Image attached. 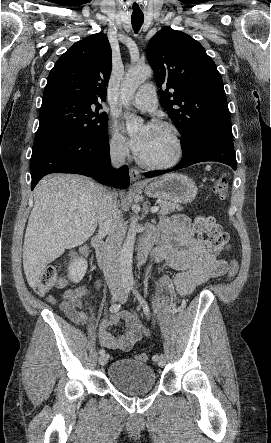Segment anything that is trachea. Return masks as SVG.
<instances>
[{"label":"trachea","instance_id":"3493384b","mask_svg":"<svg viewBox=\"0 0 271 443\" xmlns=\"http://www.w3.org/2000/svg\"><path fill=\"white\" fill-rule=\"evenodd\" d=\"M128 3L129 5H131L132 27L135 30V32H138L144 21V11L140 6L141 4L139 0H128Z\"/></svg>","mask_w":271,"mask_h":443}]
</instances>
